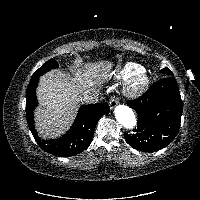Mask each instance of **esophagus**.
I'll return each mask as SVG.
<instances>
[{
	"instance_id": "esophagus-1",
	"label": "esophagus",
	"mask_w": 200,
	"mask_h": 200,
	"mask_svg": "<svg viewBox=\"0 0 200 200\" xmlns=\"http://www.w3.org/2000/svg\"><path fill=\"white\" fill-rule=\"evenodd\" d=\"M118 103H119L118 98H116L115 96L112 97V98L110 99V102H109L110 108H111V109H114V108L118 105Z\"/></svg>"
}]
</instances>
